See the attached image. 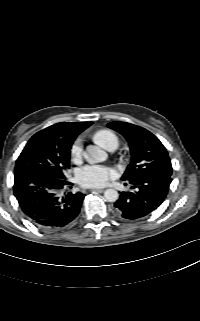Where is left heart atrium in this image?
Wrapping results in <instances>:
<instances>
[{
    "mask_svg": "<svg viewBox=\"0 0 200 321\" xmlns=\"http://www.w3.org/2000/svg\"><path fill=\"white\" fill-rule=\"evenodd\" d=\"M115 177V172L104 165H87L78 171L77 178L85 187H102Z\"/></svg>",
    "mask_w": 200,
    "mask_h": 321,
    "instance_id": "39dd6f15",
    "label": "left heart atrium"
}]
</instances>
